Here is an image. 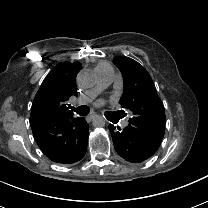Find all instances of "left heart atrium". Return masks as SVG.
Segmentation results:
<instances>
[{"mask_svg":"<svg viewBox=\"0 0 208 208\" xmlns=\"http://www.w3.org/2000/svg\"><path fill=\"white\" fill-rule=\"evenodd\" d=\"M97 106H101L103 104V100L99 99L95 103Z\"/></svg>","mask_w":208,"mask_h":208,"instance_id":"1","label":"left heart atrium"}]
</instances>
